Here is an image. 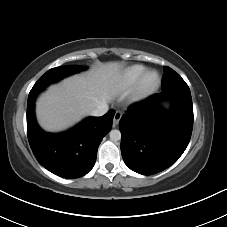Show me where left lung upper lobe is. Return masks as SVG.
Returning a JSON list of instances; mask_svg holds the SVG:
<instances>
[{"label":"left lung upper lobe","instance_id":"5c2ea615","mask_svg":"<svg viewBox=\"0 0 227 227\" xmlns=\"http://www.w3.org/2000/svg\"><path fill=\"white\" fill-rule=\"evenodd\" d=\"M162 92H190L188 85L171 68L164 66V77L162 81Z\"/></svg>","mask_w":227,"mask_h":227}]
</instances>
